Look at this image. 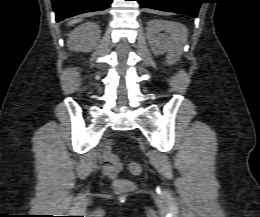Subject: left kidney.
Segmentation results:
<instances>
[{
  "mask_svg": "<svg viewBox=\"0 0 260 217\" xmlns=\"http://www.w3.org/2000/svg\"><path fill=\"white\" fill-rule=\"evenodd\" d=\"M149 44L155 55L168 52L166 62L168 65L174 64L181 56L183 40L177 34L176 26L172 23L151 20L148 22ZM161 31H166L172 35L171 40H162L159 36Z\"/></svg>",
  "mask_w": 260,
  "mask_h": 217,
  "instance_id": "1",
  "label": "left kidney"
}]
</instances>
